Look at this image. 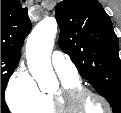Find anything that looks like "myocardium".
I'll use <instances>...</instances> for the list:
<instances>
[{"label": "myocardium", "instance_id": "1", "mask_svg": "<svg viewBox=\"0 0 121 113\" xmlns=\"http://www.w3.org/2000/svg\"><path fill=\"white\" fill-rule=\"evenodd\" d=\"M86 96H93L99 99L105 107V113H111V105L104 96L81 86H63L52 95V98L59 113H75L70 112V110L78 109L75 105L81 98Z\"/></svg>", "mask_w": 121, "mask_h": 113}]
</instances>
